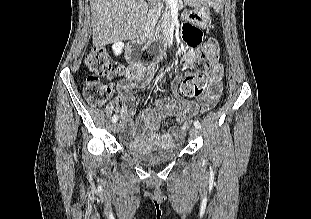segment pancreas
<instances>
[{
    "mask_svg": "<svg viewBox=\"0 0 311 219\" xmlns=\"http://www.w3.org/2000/svg\"><path fill=\"white\" fill-rule=\"evenodd\" d=\"M166 1V0H164ZM178 3L179 10L184 8L183 0H176ZM156 4L154 6L155 10H158V14L153 17V21H158V26L163 30L164 33H166L170 27L171 24V8L170 4L167 3L165 6L163 3L160 2V0H155Z\"/></svg>",
    "mask_w": 311,
    "mask_h": 219,
    "instance_id": "obj_1",
    "label": "pancreas"
}]
</instances>
